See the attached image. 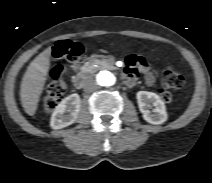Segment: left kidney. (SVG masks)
Returning <instances> with one entry per match:
<instances>
[{"instance_id": "obj_1", "label": "left kidney", "mask_w": 212, "mask_h": 183, "mask_svg": "<svg viewBox=\"0 0 212 183\" xmlns=\"http://www.w3.org/2000/svg\"><path fill=\"white\" fill-rule=\"evenodd\" d=\"M138 107L143 114V119L148 123L159 125L164 123L168 116L166 107L161 98L153 92L139 91L136 94ZM152 109V112L150 109Z\"/></svg>"}]
</instances>
